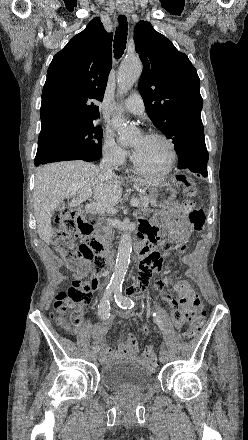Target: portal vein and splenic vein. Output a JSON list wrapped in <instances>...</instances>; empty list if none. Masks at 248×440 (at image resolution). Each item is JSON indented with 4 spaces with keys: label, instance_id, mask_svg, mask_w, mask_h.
<instances>
[{
    "label": "portal vein and splenic vein",
    "instance_id": "1",
    "mask_svg": "<svg viewBox=\"0 0 248 440\" xmlns=\"http://www.w3.org/2000/svg\"><path fill=\"white\" fill-rule=\"evenodd\" d=\"M91 191L90 189L86 190L82 195H80L78 198L73 199L70 203V207H76L80 205L82 202H84L86 199L90 197ZM131 206L138 207L139 206V200L138 199H132L131 200ZM85 211H95V212H102V213H111L115 214L116 210L113 206L108 204H102V203H90L87 204L85 207Z\"/></svg>",
    "mask_w": 248,
    "mask_h": 440
}]
</instances>
